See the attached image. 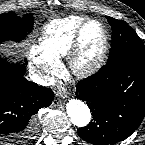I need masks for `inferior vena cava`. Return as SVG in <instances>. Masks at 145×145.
Wrapping results in <instances>:
<instances>
[{
	"label": "inferior vena cava",
	"instance_id": "obj_1",
	"mask_svg": "<svg viewBox=\"0 0 145 145\" xmlns=\"http://www.w3.org/2000/svg\"><path fill=\"white\" fill-rule=\"evenodd\" d=\"M48 78L47 77H45V76H42L41 74L40 75H38L37 77H34L33 78V81L35 82V83H37V84H39V85H42V86H46V85H48V80H47Z\"/></svg>",
	"mask_w": 145,
	"mask_h": 145
}]
</instances>
